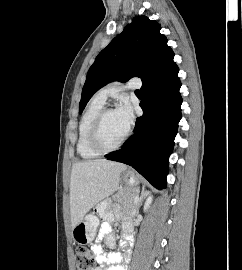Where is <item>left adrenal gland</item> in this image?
I'll list each match as a JSON object with an SVG mask.
<instances>
[{
    "label": "left adrenal gland",
    "instance_id": "obj_1",
    "mask_svg": "<svg viewBox=\"0 0 242 270\" xmlns=\"http://www.w3.org/2000/svg\"><path fill=\"white\" fill-rule=\"evenodd\" d=\"M149 194H150V192L149 191H145V189H143L141 191L140 197L138 198V201L136 203L135 215H138L139 214V208L142 205L143 199H145Z\"/></svg>",
    "mask_w": 242,
    "mask_h": 270
}]
</instances>
